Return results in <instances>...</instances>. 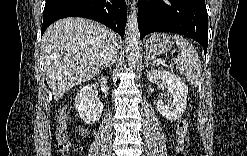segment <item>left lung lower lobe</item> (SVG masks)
<instances>
[{
  "label": "left lung lower lobe",
  "mask_w": 247,
  "mask_h": 156,
  "mask_svg": "<svg viewBox=\"0 0 247 156\" xmlns=\"http://www.w3.org/2000/svg\"><path fill=\"white\" fill-rule=\"evenodd\" d=\"M140 39L153 32H173L208 46V14L205 0H139Z\"/></svg>",
  "instance_id": "0a47b994"
}]
</instances>
